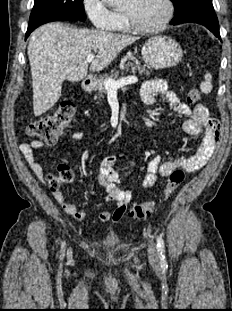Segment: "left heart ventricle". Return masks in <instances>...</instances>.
I'll list each match as a JSON object with an SVG mask.
<instances>
[{"instance_id": "obj_1", "label": "left heart ventricle", "mask_w": 232, "mask_h": 311, "mask_svg": "<svg viewBox=\"0 0 232 311\" xmlns=\"http://www.w3.org/2000/svg\"><path fill=\"white\" fill-rule=\"evenodd\" d=\"M122 9L129 11L135 22L142 26L157 24L166 13L164 0H125Z\"/></svg>"}]
</instances>
